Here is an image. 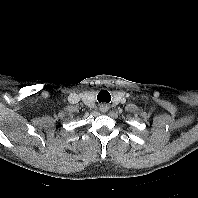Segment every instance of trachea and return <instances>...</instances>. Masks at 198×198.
I'll use <instances>...</instances> for the list:
<instances>
[{"mask_svg":"<svg viewBox=\"0 0 198 198\" xmlns=\"http://www.w3.org/2000/svg\"><path fill=\"white\" fill-rule=\"evenodd\" d=\"M97 99H98L99 102L109 103L110 100H111V95H110V93L108 91L102 90L97 95Z\"/></svg>","mask_w":198,"mask_h":198,"instance_id":"3493384b","label":"trachea"}]
</instances>
